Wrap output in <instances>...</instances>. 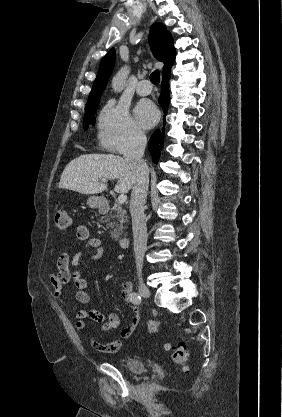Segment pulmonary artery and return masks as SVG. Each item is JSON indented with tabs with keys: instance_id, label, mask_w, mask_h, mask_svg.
<instances>
[{
	"instance_id": "1",
	"label": "pulmonary artery",
	"mask_w": 282,
	"mask_h": 417,
	"mask_svg": "<svg viewBox=\"0 0 282 417\" xmlns=\"http://www.w3.org/2000/svg\"><path fill=\"white\" fill-rule=\"evenodd\" d=\"M136 91L140 96H147L151 93L152 88L147 80H142L137 85Z\"/></svg>"
}]
</instances>
